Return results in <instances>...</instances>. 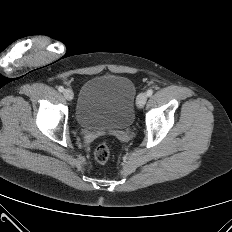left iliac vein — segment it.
<instances>
[{"instance_id": "4c4485c4", "label": "left iliac vein", "mask_w": 232, "mask_h": 232, "mask_svg": "<svg viewBox=\"0 0 232 232\" xmlns=\"http://www.w3.org/2000/svg\"><path fill=\"white\" fill-rule=\"evenodd\" d=\"M147 101V95L145 93H140L136 99V105L138 108H143Z\"/></svg>"}]
</instances>
